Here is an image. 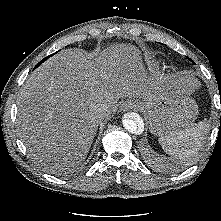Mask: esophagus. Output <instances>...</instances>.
I'll use <instances>...</instances> for the list:
<instances>
[{"label": "esophagus", "instance_id": "obj_1", "mask_svg": "<svg viewBox=\"0 0 221 221\" xmlns=\"http://www.w3.org/2000/svg\"><path fill=\"white\" fill-rule=\"evenodd\" d=\"M136 107L135 102L133 101H126L124 102L121 107H120V111L125 112V111H130L133 110Z\"/></svg>", "mask_w": 221, "mask_h": 221}]
</instances>
